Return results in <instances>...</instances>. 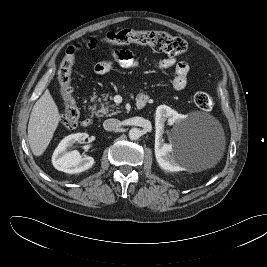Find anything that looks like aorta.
Wrapping results in <instances>:
<instances>
[{"instance_id": "762f6f07", "label": "aorta", "mask_w": 267, "mask_h": 267, "mask_svg": "<svg viewBox=\"0 0 267 267\" xmlns=\"http://www.w3.org/2000/svg\"><path fill=\"white\" fill-rule=\"evenodd\" d=\"M141 137V131L138 128H132L129 131V138L131 140H137Z\"/></svg>"}]
</instances>
